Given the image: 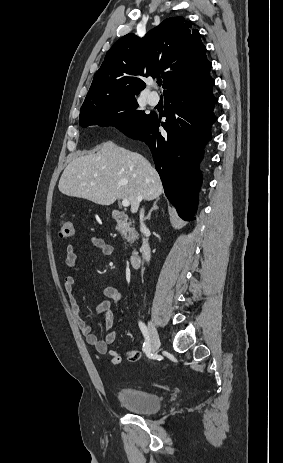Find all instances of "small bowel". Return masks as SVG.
<instances>
[{"label": "small bowel", "mask_w": 283, "mask_h": 463, "mask_svg": "<svg viewBox=\"0 0 283 463\" xmlns=\"http://www.w3.org/2000/svg\"><path fill=\"white\" fill-rule=\"evenodd\" d=\"M90 241L94 247L100 250V252L109 256L113 252V247L107 243L104 239L99 236H91ZM66 265L70 269H74L78 263V254L75 251L73 245L69 244L66 246ZM75 278L72 274L65 277L64 288L68 295L71 310L75 316L77 324L85 336L86 341L89 345H92L96 352L99 354H108L110 357V363L117 365L122 361L120 353L111 349L118 337V325L122 321L121 316H115L112 312V307L117 306L123 299V293L115 287H106L103 290V294L108 298L101 302L97 307V312L104 318L106 335L104 340H99L97 335L93 333L92 327L80 316V303L74 295ZM140 358V354L137 350L131 349L126 352V359L129 362H136Z\"/></svg>", "instance_id": "obj_1"}]
</instances>
